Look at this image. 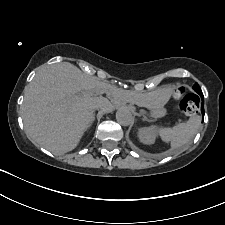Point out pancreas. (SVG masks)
Returning <instances> with one entry per match:
<instances>
[{"mask_svg":"<svg viewBox=\"0 0 225 225\" xmlns=\"http://www.w3.org/2000/svg\"><path fill=\"white\" fill-rule=\"evenodd\" d=\"M165 109L163 108V109H159V110H155V111H153V113H152V117H154V118H157V117H161V116H164L165 115Z\"/></svg>","mask_w":225,"mask_h":225,"instance_id":"obj_1","label":"pancreas"}]
</instances>
